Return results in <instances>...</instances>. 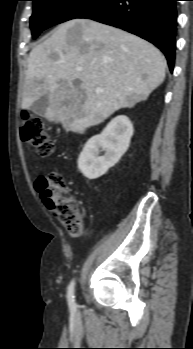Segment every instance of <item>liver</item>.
<instances>
[{
	"label": "liver",
	"mask_w": 193,
	"mask_h": 349,
	"mask_svg": "<svg viewBox=\"0 0 193 349\" xmlns=\"http://www.w3.org/2000/svg\"><path fill=\"white\" fill-rule=\"evenodd\" d=\"M166 67L162 53L140 37L73 19L31 50L22 108L46 95L44 117L83 134L117 110L146 100L164 81Z\"/></svg>",
	"instance_id": "liver-1"
}]
</instances>
